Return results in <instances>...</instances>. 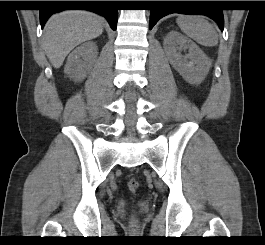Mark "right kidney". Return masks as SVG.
Masks as SVG:
<instances>
[{"instance_id":"obj_1","label":"right kidney","mask_w":265,"mask_h":245,"mask_svg":"<svg viewBox=\"0 0 265 245\" xmlns=\"http://www.w3.org/2000/svg\"><path fill=\"white\" fill-rule=\"evenodd\" d=\"M97 51L95 42H86L77 47L68 56L64 72L75 81L83 80L96 62Z\"/></svg>"}]
</instances>
